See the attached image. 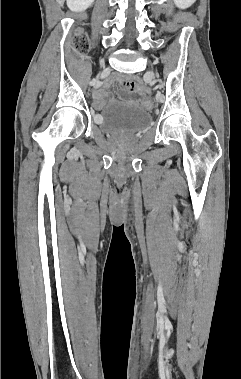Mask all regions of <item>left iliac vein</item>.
Masks as SVG:
<instances>
[{
	"instance_id": "4c4485c4",
	"label": "left iliac vein",
	"mask_w": 241,
	"mask_h": 379,
	"mask_svg": "<svg viewBox=\"0 0 241 379\" xmlns=\"http://www.w3.org/2000/svg\"><path fill=\"white\" fill-rule=\"evenodd\" d=\"M149 75L154 78V73L153 72H149Z\"/></svg>"
}]
</instances>
